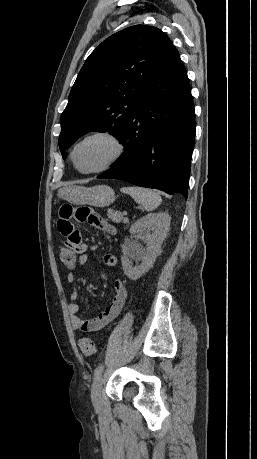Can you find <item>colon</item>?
<instances>
[{
	"mask_svg": "<svg viewBox=\"0 0 257 459\" xmlns=\"http://www.w3.org/2000/svg\"><path fill=\"white\" fill-rule=\"evenodd\" d=\"M65 237V236H64ZM60 261L63 265L71 267L75 265L76 257L74 251H68L67 245L64 244L59 252ZM79 348L84 355L90 356L95 353L96 347L93 340L89 337H82L79 339Z\"/></svg>",
	"mask_w": 257,
	"mask_h": 459,
	"instance_id": "5ec220e1",
	"label": "colon"
}]
</instances>
